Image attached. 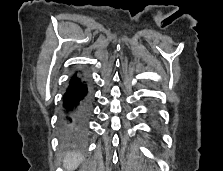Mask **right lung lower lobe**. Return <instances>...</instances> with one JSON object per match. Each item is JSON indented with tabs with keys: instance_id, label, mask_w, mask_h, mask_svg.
I'll list each match as a JSON object with an SVG mask.
<instances>
[{
	"instance_id": "1",
	"label": "right lung lower lobe",
	"mask_w": 223,
	"mask_h": 171,
	"mask_svg": "<svg viewBox=\"0 0 223 171\" xmlns=\"http://www.w3.org/2000/svg\"><path fill=\"white\" fill-rule=\"evenodd\" d=\"M89 114V95L84 81L74 75L63 96L62 133L69 138H81Z\"/></svg>"
}]
</instances>
